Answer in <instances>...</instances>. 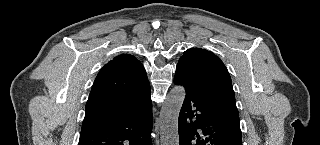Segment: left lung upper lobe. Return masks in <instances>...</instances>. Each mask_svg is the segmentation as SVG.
Returning a JSON list of instances; mask_svg holds the SVG:
<instances>
[{
	"instance_id": "5c2ea615",
	"label": "left lung upper lobe",
	"mask_w": 320,
	"mask_h": 145,
	"mask_svg": "<svg viewBox=\"0 0 320 145\" xmlns=\"http://www.w3.org/2000/svg\"><path fill=\"white\" fill-rule=\"evenodd\" d=\"M206 76L216 84L217 107L227 116L239 122L232 82L223 62L211 51L202 48L186 50L179 62Z\"/></svg>"
}]
</instances>
